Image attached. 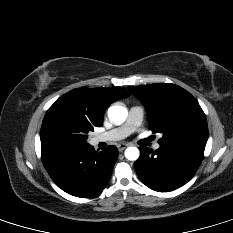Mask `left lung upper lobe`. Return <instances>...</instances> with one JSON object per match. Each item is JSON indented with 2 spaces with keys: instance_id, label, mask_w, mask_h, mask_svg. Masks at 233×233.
I'll list each match as a JSON object with an SVG mask.
<instances>
[{
  "instance_id": "obj_1",
  "label": "left lung upper lobe",
  "mask_w": 233,
  "mask_h": 233,
  "mask_svg": "<svg viewBox=\"0 0 233 233\" xmlns=\"http://www.w3.org/2000/svg\"><path fill=\"white\" fill-rule=\"evenodd\" d=\"M129 90L145 106L149 129L162 134L158 140L160 145L182 142L206 144V116L188 91L170 83L129 87Z\"/></svg>"
}]
</instances>
